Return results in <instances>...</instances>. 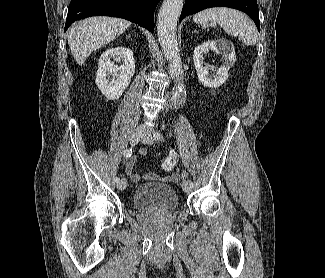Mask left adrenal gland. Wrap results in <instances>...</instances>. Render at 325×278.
I'll return each instance as SVG.
<instances>
[{
    "mask_svg": "<svg viewBox=\"0 0 325 278\" xmlns=\"http://www.w3.org/2000/svg\"><path fill=\"white\" fill-rule=\"evenodd\" d=\"M192 33H199L197 30H194Z\"/></svg>",
    "mask_w": 325,
    "mask_h": 278,
    "instance_id": "left-adrenal-gland-1",
    "label": "left adrenal gland"
}]
</instances>
